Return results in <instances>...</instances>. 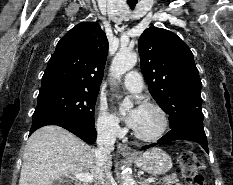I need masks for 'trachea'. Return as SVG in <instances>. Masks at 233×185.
<instances>
[{
	"label": "trachea",
	"instance_id": "1",
	"mask_svg": "<svg viewBox=\"0 0 233 185\" xmlns=\"http://www.w3.org/2000/svg\"><path fill=\"white\" fill-rule=\"evenodd\" d=\"M135 6H136V3H129V7H130L131 9H134Z\"/></svg>",
	"mask_w": 233,
	"mask_h": 185
}]
</instances>
